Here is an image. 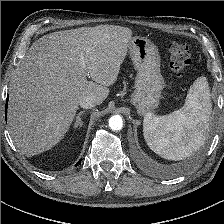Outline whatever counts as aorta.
<instances>
[{
    "instance_id": "762f6f07",
    "label": "aorta",
    "mask_w": 224,
    "mask_h": 224,
    "mask_svg": "<svg viewBox=\"0 0 224 224\" xmlns=\"http://www.w3.org/2000/svg\"><path fill=\"white\" fill-rule=\"evenodd\" d=\"M109 127L114 131L121 130L123 127L122 117L120 115H114V116L110 117Z\"/></svg>"
}]
</instances>
